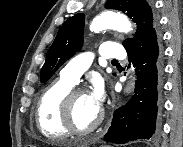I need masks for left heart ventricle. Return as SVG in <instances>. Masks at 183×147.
<instances>
[{
    "label": "left heart ventricle",
    "instance_id": "obj_1",
    "mask_svg": "<svg viewBox=\"0 0 183 147\" xmlns=\"http://www.w3.org/2000/svg\"><path fill=\"white\" fill-rule=\"evenodd\" d=\"M100 107L91 99L89 94L79 95L73 106V119L80 129L89 127L97 118Z\"/></svg>",
    "mask_w": 183,
    "mask_h": 147
}]
</instances>
